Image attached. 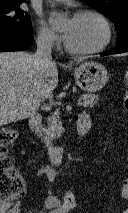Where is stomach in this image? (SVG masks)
I'll return each instance as SVG.
<instances>
[{
    "label": "stomach",
    "instance_id": "stomach-1",
    "mask_svg": "<svg viewBox=\"0 0 128 213\" xmlns=\"http://www.w3.org/2000/svg\"><path fill=\"white\" fill-rule=\"evenodd\" d=\"M78 86L88 92L101 90L108 81L106 68L97 62H85L74 70Z\"/></svg>",
    "mask_w": 128,
    "mask_h": 213
}]
</instances>
